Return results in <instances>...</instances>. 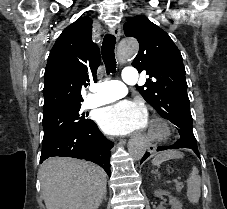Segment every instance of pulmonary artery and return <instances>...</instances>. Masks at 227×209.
Returning a JSON list of instances; mask_svg holds the SVG:
<instances>
[{
  "label": "pulmonary artery",
  "instance_id": "obj_1",
  "mask_svg": "<svg viewBox=\"0 0 227 209\" xmlns=\"http://www.w3.org/2000/svg\"><path fill=\"white\" fill-rule=\"evenodd\" d=\"M139 74L138 70H134L133 66H126L123 71V83L113 84V82H95V87H90L86 91L85 102L89 106H101L112 101H115L127 94L128 84L136 83V77ZM122 83L121 81H117ZM101 92V93H95Z\"/></svg>",
  "mask_w": 227,
  "mask_h": 209
}]
</instances>
